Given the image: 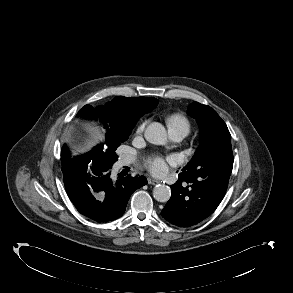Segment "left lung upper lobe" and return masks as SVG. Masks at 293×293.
<instances>
[{"label": "left lung upper lobe", "mask_w": 293, "mask_h": 293, "mask_svg": "<svg viewBox=\"0 0 293 293\" xmlns=\"http://www.w3.org/2000/svg\"><path fill=\"white\" fill-rule=\"evenodd\" d=\"M188 113L200 126L201 142L182 173L210 171L231 174L234 158L231 135L225 122L213 108L198 102L189 105Z\"/></svg>", "instance_id": "obj_1"}]
</instances>
